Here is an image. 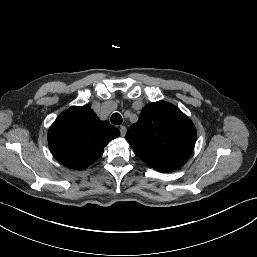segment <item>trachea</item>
Here are the masks:
<instances>
[{"label":"trachea","instance_id":"3493384b","mask_svg":"<svg viewBox=\"0 0 257 257\" xmlns=\"http://www.w3.org/2000/svg\"><path fill=\"white\" fill-rule=\"evenodd\" d=\"M111 123L114 125H121L122 124V116L119 113L112 114Z\"/></svg>","mask_w":257,"mask_h":257}]
</instances>
